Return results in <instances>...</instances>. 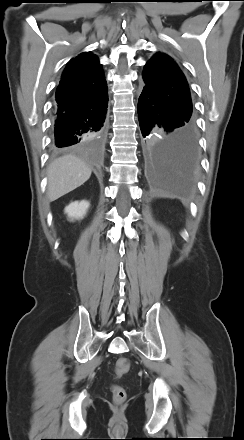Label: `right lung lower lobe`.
<instances>
[{"label":"right lung lower lobe","instance_id":"right-lung-lower-lobe-1","mask_svg":"<svg viewBox=\"0 0 244 440\" xmlns=\"http://www.w3.org/2000/svg\"><path fill=\"white\" fill-rule=\"evenodd\" d=\"M107 92L81 106L54 112L55 147L62 148L102 138L105 132Z\"/></svg>","mask_w":244,"mask_h":440}]
</instances>
